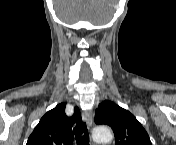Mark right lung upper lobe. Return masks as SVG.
<instances>
[{"label": "right lung upper lobe", "mask_w": 176, "mask_h": 145, "mask_svg": "<svg viewBox=\"0 0 176 145\" xmlns=\"http://www.w3.org/2000/svg\"><path fill=\"white\" fill-rule=\"evenodd\" d=\"M66 103L58 104L47 112L29 136L27 145H72V126L81 121L80 111L75 107L71 117L65 114Z\"/></svg>", "instance_id": "obj_1"}]
</instances>
